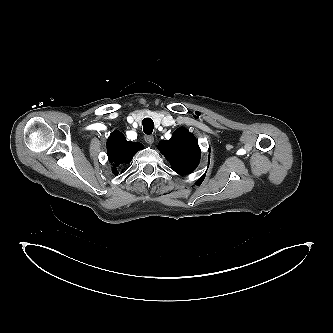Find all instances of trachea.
<instances>
[{"instance_id":"1","label":"trachea","mask_w":333,"mask_h":333,"mask_svg":"<svg viewBox=\"0 0 333 333\" xmlns=\"http://www.w3.org/2000/svg\"><path fill=\"white\" fill-rule=\"evenodd\" d=\"M143 131L145 134L150 135L153 132L154 122L151 118H145L142 121Z\"/></svg>"}]
</instances>
